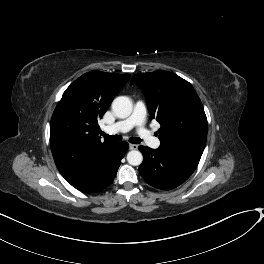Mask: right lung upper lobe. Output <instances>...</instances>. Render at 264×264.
<instances>
[{"mask_svg":"<svg viewBox=\"0 0 264 264\" xmlns=\"http://www.w3.org/2000/svg\"><path fill=\"white\" fill-rule=\"evenodd\" d=\"M129 74L94 70L76 79L63 93L50 124V145L55 164L72 183L97 171L116 142H101L98 120Z\"/></svg>","mask_w":264,"mask_h":264,"instance_id":"right-lung-upper-lobe-1","label":"right lung upper lobe"}]
</instances>
